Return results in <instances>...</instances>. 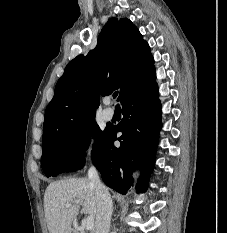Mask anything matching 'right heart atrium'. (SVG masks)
Wrapping results in <instances>:
<instances>
[{
	"mask_svg": "<svg viewBox=\"0 0 227 233\" xmlns=\"http://www.w3.org/2000/svg\"><path fill=\"white\" fill-rule=\"evenodd\" d=\"M91 147L87 141L79 143L74 152V158L77 162L84 161L90 154Z\"/></svg>",
	"mask_w": 227,
	"mask_h": 233,
	"instance_id": "right-heart-atrium-1",
	"label": "right heart atrium"
}]
</instances>
